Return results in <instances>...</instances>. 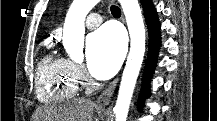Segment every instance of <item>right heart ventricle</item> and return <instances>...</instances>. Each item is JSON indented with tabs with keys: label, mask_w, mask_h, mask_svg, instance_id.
<instances>
[{
	"label": "right heart ventricle",
	"mask_w": 217,
	"mask_h": 121,
	"mask_svg": "<svg viewBox=\"0 0 217 121\" xmlns=\"http://www.w3.org/2000/svg\"><path fill=\"white\" fill-rule=\"evenodd\" d=\"M78 78L72 62L57 55H46L38 64L36 94L43 103L64 101L75 95Z\"/></svg>",
	"instance_id": "right-heart-ventricle-1"
}]
</instances>
